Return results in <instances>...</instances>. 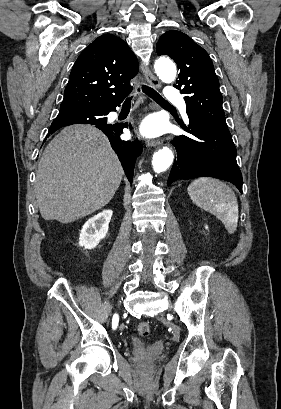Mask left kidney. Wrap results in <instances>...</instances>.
Segmentation results:
<instances>
[{
	"label": "left kidney",
	"instance_id": "1",
	"mask_svg": "<svg viewBox=\"0 0 281 409\" xmlns=\"http://www.w3.org/2000/svg\"><path fill=\"white\" fill-rule=\"evenodd\" d=\"M205 229H208L207 225H205Z\"/></svg>",
	"mask_w": 281,
	"mask_h": 409
}]
</instances>
